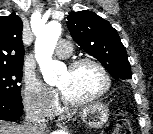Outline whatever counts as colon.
<instances>
[{"mask_svg":"<svg viewBox=\"0 0 153 134\" xmlns=\"http://www.w3.org/2000/svg\"><path fill=\"white\" fill-rule=\"evenodd\" d=\"M101 134H132L126 113L119 111L115 119L105 126Z\"/></svg>","mask_w":153,"mask_h":134,"instance_id":"obj_1","label":"colon"}]
</instances>
